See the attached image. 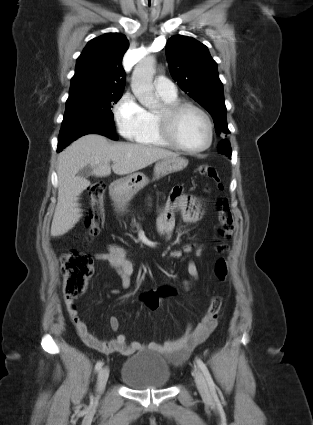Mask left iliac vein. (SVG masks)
I'll list each match as a JSON object with an SVG mask.
<instances>
[{"instance_id": "obj_1", "label": "left iliac vein", "mask_w": 313, "mask_h": 425, "mask_svg": "<svg viewBox=\"0 0 313 425\" xmlns=\"http://www.w3.org/2000/svg\"><path fill=\"white\" fill-rule=\"evenodd\" d=\"M193 376L195 379V383L200 394L205 398H210V393L208 390V386L206 380L198 368H194Z\"/></svg>"}]
</instances>
